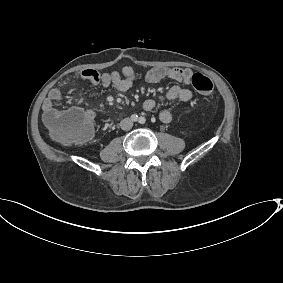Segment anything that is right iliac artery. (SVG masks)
<instances>
[{
  "instance_id": "obj_1",
  "label": "right iliac artery",
  "mask_w": 283,
  "mask_h": 283,
  "mask_svg": "<svg viewBox=\"0 0 283 283\" xmlns=\"http://www.w3.org/2000/svg\"><path fill=\"white\" fill-rule=\"evenodd\" d=\"M131 119H132L133 121H137L138 116H137L136 114H133V115H131Z\"/></svg>"
}]
</instances>
